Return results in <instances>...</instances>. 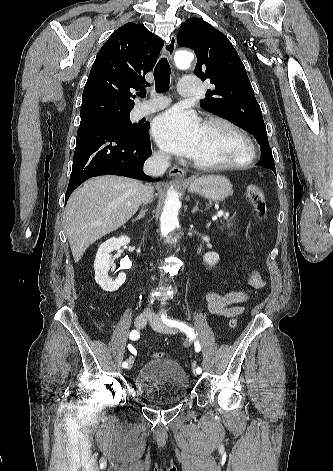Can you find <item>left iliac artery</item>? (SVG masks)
Returning a JSON list of instances; mask_svg holds the SVG:
<instances>
[{"label": "left iliac artery", "mask_w": 333, "mask_h": 471, "mask_svg": "<svg viewBox=\"0 0 333 471\" xmlns=\"http://www.w3.org/2000/svg\"><path fill=\"white\" fill-rule=\"evenodd\" d=\"M161 320L166 325L170 327L178 328L181 331L185 332L187 336L190 337L191 339H196L197 334L195 333L194 329L191 326H188L185 322H180L179 320L169 319L167 318L166 314L161 315ZM194 346H195V351L200 352L201 346L198 340L194 342ZM195 371L198 374H200L202 372V369L200 367H197Z\"/></svg>", "instance_id": "left-iliac-artery-1"}]
</instances>
